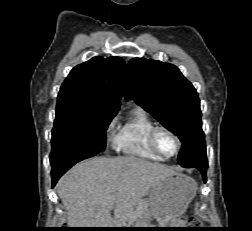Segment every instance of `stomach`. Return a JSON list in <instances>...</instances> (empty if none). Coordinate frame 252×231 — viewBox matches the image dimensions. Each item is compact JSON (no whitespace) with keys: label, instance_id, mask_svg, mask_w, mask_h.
<instances>
[{"label":"stomach","instance_id":"obj_1","mask_svg":"<svg viewBox=\"0 0 252 231\" xmlns=\"http://www.w3.org/2000/svg\"><path fill=\"white\" fill-rule=\"evenodd\" d=\"M196 191L197 184L192 178L177 173L167 176L151 188L147 200L149 211L161 226H173L195 197ZM143 226L144 221L139 220L132 228H145Z\"/></svg>","mask_w":252,"mask_h":231}]
</instances>
